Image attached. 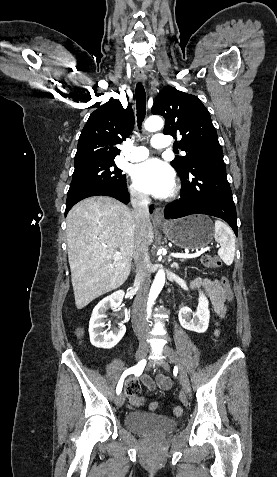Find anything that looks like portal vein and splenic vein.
Here are the masks:
<instances>
[{
    "label": "portal vein and splenic vein",
    "mask_w": 277,
    "mask_h": 477,
    "mask_svg": "<svg viewBox=\"0 0 277 477\" xmlns=\"http://www.w3.org/2000/svg\"><path fill=\"white\" fill-rule=\"evenodd\" d=\"M210 247H206L200 251H198L197 253L195 254H188V253H178V252H173L171 253V256L172 257H176V258H196L198 256H200L201 254H203L205 251L209 250ZM113 257L115 259H119L121 257V252L120 251H115L114 254H113Z\"/></svg>",
    "instance_id": "portal-vein-and-splenic-vein-1"
}]
</instances>
